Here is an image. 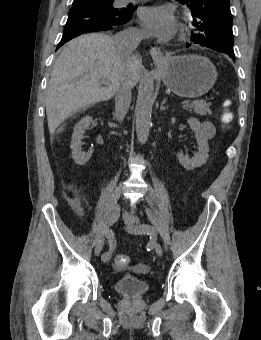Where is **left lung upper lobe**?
<instances>
[{"instance_id":"obj_1","label":"left lung upper lobe","mask_w":261,"mask_h":340,"mask_svg":"<svg viewBox=\"0 0 261 340\" xmlns=\"http://www.w3.org/2000/svg\"><path fill=\"white\" fill-rule=\"evenodd\" d=\"M189 7L193 17L192 24L196 26L191 33V40L219 52L234 53L229 0H192ZM205 14L208 16L202 18Z\"/></svg>"}]
</instances>
